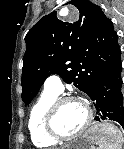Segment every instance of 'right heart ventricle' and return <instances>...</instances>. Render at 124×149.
<instances>
[{"label": "right heart ventricle", "instance_id": "right-heart-ventricle-1", "mask_svg": "<svg viewBox=\"0 0 124 149\" xmlns=\"http://www.w3.org/2000/svg\"><path fill=\"white\" fill-rule=\"evenodd\" d=\"M58 98V94L44 91L30 110L28 130L32 143L40 148L55 146L58 141L51 138L45 130L44 119L50 105Z\"/></svg>", "mask_w": 124, "mask_h": 149}]
</instances>
